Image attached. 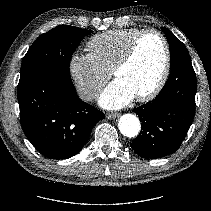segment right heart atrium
<instances>
[{
	"label": "right heart atrium",
	"instance_id": "1",
	"mask_svg": "<svg viewBox=\"0 0 211 211\" xmlns=\"http://www.w3.org/2000/svg\"><path fill=\"white\" fill-rule=\"evenodd\" d=\"M68 70L78 95L85 101L94 100L110 76L90 53L79 51L70 56Z\"/></svg>",
	"mask_w": 211,
	"mask_h": 211
}]
</instances>
